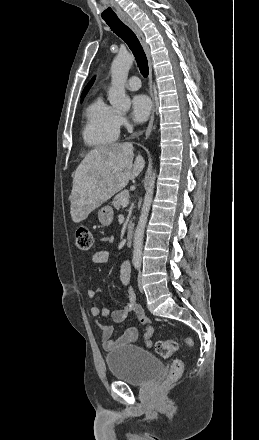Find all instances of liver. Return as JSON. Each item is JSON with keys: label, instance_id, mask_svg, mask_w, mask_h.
I'll return each mask as SVG.
<instances>
[{"label": "liver", "instance_id": "6515ba94", "mask_svg": "<svg viewBox=\"0 0 259 440\" xmlns=\"http://www.w3.org/2000/svg\"><path fill=\"white\" fill-rule=\"evenodd\" d=\"M131 143H116L91 150L77 167L71 191V217L85 220L102 203L122 190L145 167L138 154L135 161Z\"/></svg>", "mask_w": 259, "mask_h": 440}]
</instances>
